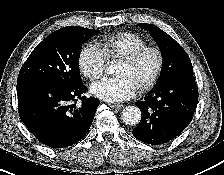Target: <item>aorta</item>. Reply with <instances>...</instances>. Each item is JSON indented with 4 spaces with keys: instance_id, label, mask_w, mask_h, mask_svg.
<instances>
[{
    "instance_id": "obj_1",
    "label": "aorta",
    "mask_w": 224,
    "mask_h": 175,
    "mask_svg": "<svg viewBox=\"0 0 224 175\" xmlns=\"http://www.w3.org/2000/svg\"><path fill=\"white\" fill-rule=\"evenodd\" d=\"M107 72L109 74L113 73V68L112 66H109L107 69ZM141 120V111L138 107L136 106H128L122 111V121L126 125H136L140 122Z\"/></svg>"
}]
</instances>
